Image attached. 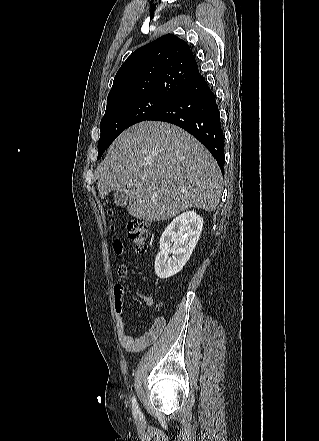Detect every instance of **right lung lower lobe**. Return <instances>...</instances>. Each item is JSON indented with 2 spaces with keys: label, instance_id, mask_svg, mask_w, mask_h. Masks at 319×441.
I'll list each match as a JSON object with an SVG mask.
<instances>
[{
  "label": "right lung lower lobe",
  "instance_id": "1",
  "mask_svg": "<svg viewBox=\"0 0 319 441\" xmlns=\"http://www.w3.org/2000/svg\"><path fill=\"white\" fill-rule=\"evenodd\" d=\"M148 120L175 124L198 139L224 168V134L216 95L203 76L186 85L158 113Z\"/></svg>",
  "mask_w": 319,
  "mask_h": 441
}]
</instances>
